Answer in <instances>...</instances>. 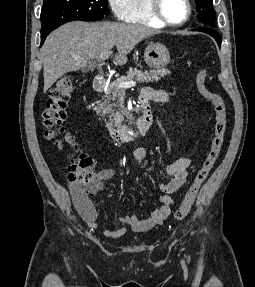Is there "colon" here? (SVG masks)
I'll return each mask as SVG.
<instances>
[{"instance_id": "1", "label": "colon", "mask_w": 255, "mask_h": 287, "mask_svg": "<svg viewBox=\"0 0 255 287\" xmlns=\"http://www.w3.org/2000/svg\"><path fill=\"white\" fill-rule=\"evenodd\" d=\"M207 77L208 72L206 69L199 70L196 76V83L201 95L210 101L213 106L215 114L214 131L205 160L174 213L176 220H182L189 214L197 194L218 160L224 144L226 108L222 97L206 87ZM72 90L73 80L70 76L61 77L50 90L46 108L43 112V124L46 128L45 137L49 140H54L59 148L70 146L74 149V152L70 154L71 164L68 170V180L70 182H79L80 184H89L94 178L92 172L93 161L89 156L77 149L72 135L65 126L66 107Z\"/></svg>"}]
</instances>
